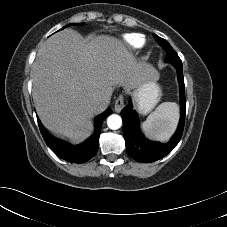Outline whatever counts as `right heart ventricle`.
<instances>
[{"label":"right heart ventricle","instance_id":"1","mask_svg":"<svg viewBox=\"0 0 227 227\" xmlns=\"http://www.w3.org/2000/svg\"><path fill=\"white\" fill-rule=\"evenodd\" d=\"M124 41L129 47L137 49L143 45L144 38L141 34L131 33L124 36Z\"/></svg>","mask_w":227,"mask_h":227}]
</instances>
